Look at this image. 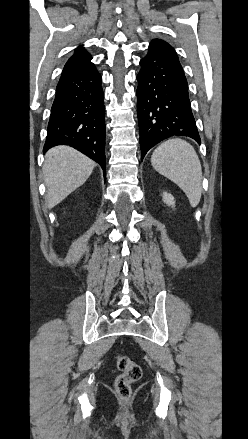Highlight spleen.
<instances>
[{
	"label": "spleen",
	"instance_id": "1",
	"mask_svg": "<svg viewBox=\"0 0 248 439\" xmlns=\"http://www.w3.org/2000/svg\"><path fill=\"white\" fill-rule=\"evenodd\" d=\"M153 168L177 184L196 207L202 194V167L193 146L172 138L161 143L151 156Z\"/></svg>",
	"mask_w": 248,
	"mask_h": 439
}]
</instances>
